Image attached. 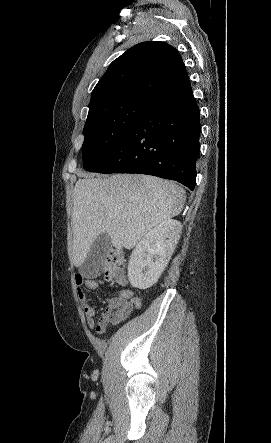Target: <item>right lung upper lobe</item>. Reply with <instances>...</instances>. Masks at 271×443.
<instances>
[{
	"instance_id": "cb5924a9",
	"label": "right lung upper lobe",
	"mask_w": 271,
	"mask_h": 443,
	"mask_svg": "<svg viewBox=\"0 0 271 443\" xmlns=\"http://www.w3.org/2000/svg\"><path fill=\"white\" fill-rule=\"evenodd\" d=\"M190 87L183 60L174 47L158 41L143 42L111 63L92 92L88 115L104 103L123 99L153 103Z\"/></svg>"
}]
</instances>
